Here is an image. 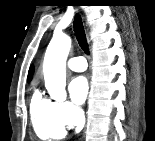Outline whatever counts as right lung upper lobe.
<instances>
[{
  "label": "right lung upper lobe",
  "mask_w": 155,
  "mask_h": 141,
  "mask_svg": "<svg viewBox=\"0 0 155 141\" xmlns=\"http://www.w3.org/2000/svg\"><path fill=\"white\" fill-rule=\"evenodd\" d=\"M32 74H33V67L31 66L28 72V80L31 79Z\"/></svg>",
  "instance_id": "1"
}]
</instances>
